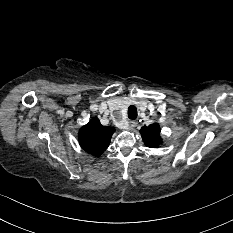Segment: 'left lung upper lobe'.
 <instances>
[{
    "instance_id": "1",
    "label": "left lung upper lobe",
    "mask_w": 233,
    "mask_h": 233,
    "mask_svg": "<svg viewBox=\"0 0 233 233\" xmlns=\"http://www.w3.org/2000/svg\"><path fill=\"white\" fill-rule=\"evenodd\" d=\"M142 139L146 146L157 148L161 143L160 126L157 123H153L149 126H143L140 130Z\"/></svg>"
}]
</instances>
